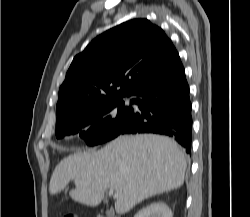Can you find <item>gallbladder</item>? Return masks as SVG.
<instances>
[{"label":"gallbladder","instance_id":"bac80fb5","mask_svg":"<svg viewBox=\"0 0 250 217\" xmlns=\"http://www.w3.org/2000/svg\"><path fill=\"white\" fill-rule=\"evenodd\" d=\"M106 214L108 217H113V212L110 210H107Z\"/></svg>","mask_w":250,"mask_h":217}]
</instances>
